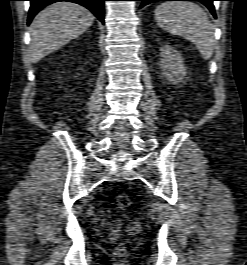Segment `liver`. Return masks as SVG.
Returning <instances> with one entry per match:
<instances>
[{"label":"liver","instance_id":"obj_1","mask_svg":"<svg viewBox=\"0 0 247 265\" xmlns=\"http://www.w3.org/2000/svg\"><path fill=\"white\" fill-rule=\"evenodd\" d=\"M93 21L92 13L75 3L57 2L47 6L36 15L30 26V60L39 62L84 33Z\"/></svg>","mask_w":247,"mask_h":265}]
</instances>
